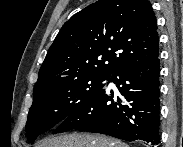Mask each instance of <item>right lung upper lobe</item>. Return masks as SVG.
<instances>
[{"mask_svg":"<svg viewBox=\"0 0 183 147\" xmlns=\"http://www.w3.org/2000/svg\"><path fill=\"white\" fill-rule=\"evenodd\" d=\"M158 56L157 22L148 0H98L63 25L34 90L84 76L110 77Z\"/></svg>","mask_w":183,"mask_h":147,"instance_id":"1","label":"right lung upper lobe"}]
</instances>
